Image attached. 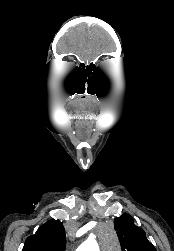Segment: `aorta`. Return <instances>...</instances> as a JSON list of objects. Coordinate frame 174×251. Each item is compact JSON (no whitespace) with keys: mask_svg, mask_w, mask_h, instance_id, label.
Listing matches in <instances>:
<instances>
[{"mask_svg":"<svg viewBox=\"0 0 174 251\" xmlns=\"http://www.w3.org/2000/svg\"><path fill=\"white\" fill-rule=\"evenodd\" d=\"M105 238L107 251L117 250L118 239L112 227L105 228ZM76 251H100V249L96 242L88 240L82 243Z\"/></svg>","mask_w":174,"mask_h":251,"instance_id":"aorta-1","label":"aorta"}]
</instances>
